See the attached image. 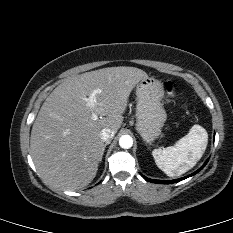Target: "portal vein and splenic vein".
Masks as SVG:
<instances>
[{
    "mask_svg": "<svg viewBox=\"0 0 233 233\" xmlns=\"http://www.w3.org/2000/svg\"><path fill=\"white\" fill-rule=\"evenodd\" d=\"M98 91H94L93 93H91L89 95V97H83V99L87 102V105L94 108L95 107V104H96V101H95V97L97 95ZM92 119L93 120H97L98 119V116L96 113H93L92 114Z\"/></svg>",
    "mask_w": 233,
    "mask_h": 233,
    "instance_id": "portal-vein-and-splenic-vein-1",
    "label": "portal vein and splenic vein"
}]
</instances>
